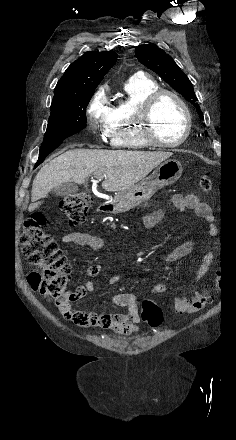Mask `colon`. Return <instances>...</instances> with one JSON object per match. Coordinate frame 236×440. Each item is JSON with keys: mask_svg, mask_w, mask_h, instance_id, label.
Listing matches in <instances>:
<instances>
[{"mask_svg": "<svg viewBox=\"0 0 236 440\" xmlns=\"http://www.w3.org/2000/svg\"><path fill=\"white\" fill-rule=\"evenodd\" d=\"M199 185L204 192L212 189V181L208 175L200 178ZM89 208L90 196L86 192L70 194L61 201V211L73 225L85 221ZM45 223L46 217L41 213L32 215L24 222L20 244L29 264L37 268L28 275L29 286L53 301L67 320L72 323L87 321L69 318L72 300L66 286L71 266L54 238L44 231ZM209 300L208 294L200 291L191 297L176 299L173 309L178 314H192L203 309ZM141 318L150 326L157 327L163 321V313L154 301L144 300L141 304Z\"/></svg>", "mask_w": 236, "mask_h": 440, "instance_id": "1", "label": "colon"}]
</instances>
